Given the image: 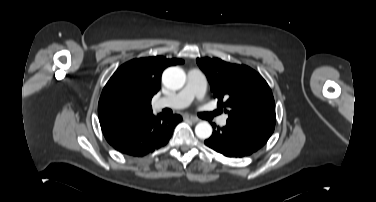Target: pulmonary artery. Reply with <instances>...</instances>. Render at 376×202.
I'll list each match as a JSON object with an SVG mask.
<instances>
[{
  "label": "pulmonary artery",
  "instance_id": "pulmonary-artery-1",
  "mask_svg": "<svg viewBox=\"0 0 376 202\" xmlns=\"http://www.w3.org/2000/svg\"><path fill=\"white\" fill-rule=\"evenodd\" d=\"M206 90V79L199 69H191L188 72L187 83L185 87L175 95L163 97L155 102L156 108L169 107L180 109L188 106L195 98L203 99ZM227 117L220 118V124L225 125Z\"/></svg>",
  "mask_w": 376,
  "mask_h": 202
}]
</instances>
